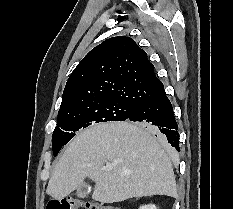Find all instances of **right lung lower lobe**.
Listing matches in <instances>:
<instances>
[{"label": "right lung lower lobe", "mask_w": 233, "mask_h": 209, "mask_svg": "<svg viewBox=\"0 0 233 209\" xmlns=\"http://www.w3.org/2000/svg\"><path fill=\"white\" fill-rule=\"evenodd\" d=\"M127 120L150 125L156 133L164 134L168 142L180 151L178 125L171 102L164 89L155 96L139 103Z\"/></svg>", "instance_id": "obj_1"}]
</instances>
